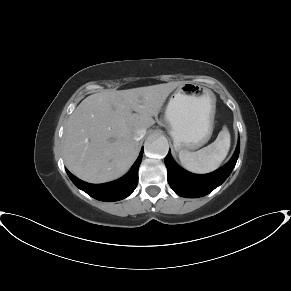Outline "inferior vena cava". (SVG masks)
<instances>
[{"instance_id": "obj_1", "label": "inferior vena cava", "mask_w": 291, "mask_h": 291, "mask_svg": "<svg viewBox=\"0 0 291 291\" xmlns=\"http://www.w3.org/2000/svg\"><path fill=\"white\" fill-rule=\"evenodd\" d=\"M145 134H146V130L144 128L136 129L134 132V139L139 141L140 139L144 137Z\"/></svg>"}]
</instances>
